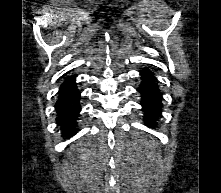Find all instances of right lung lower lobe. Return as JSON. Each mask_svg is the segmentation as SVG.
<instances>
[{
  "label": "right lung lower lobe",
  "mask_w": 221,
  "mask_h": 193,
  "mask_svg": "<svg viewBox=\"0 0 221 193\" xmlns=\"http://www.w3.org/2000/svg\"><path fill=\"white\" fill-rule=\"evenodd\" d=\"M79 100L80 91L76 87L75 76H69L60 86L55 104L56 122L67 138L76 134L77 119L81 111Z\"/></svg>",
  "instance_id": "98d812e1"
}]
</instances>
